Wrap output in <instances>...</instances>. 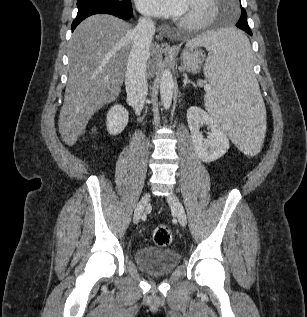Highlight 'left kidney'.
Returning <instances> with one entry per match:
<instances>
[{
  "instance_id": "left-kidney-1",
  "label": "left kidney",
  "mask_w": 307,
  "mask_h": 317,
  "mask_svg": "<svg viewBox=\"0 0 307 317\" xmlns=\"http://www.w3.org/2000/svg\"><path fill=\"white\" fill-rule=\"evenodd\" d=\"M187 122L195 152L203 162H212L223 156L229 149V140L219 124L202 108L192 106L187 111ZM205 124L211 133L205 139L200 127Z\"/></svg>"
}]
</instances>
